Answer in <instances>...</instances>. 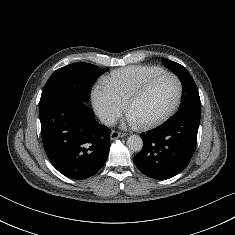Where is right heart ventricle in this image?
Instances as JSON below:
<instances>
[{
    "label": "right heart ventricle",
    "instance_id": "right-heart-ventricle-1",
    "mask_svg": "<svg viewBox=\"0 0 235 235\" xmlns=\"http://www.w3.org/2000/svg\"><path fill=\"white\" fill-rule=\"evenodd\" d=\"M163 71L159 66H128L112 72L105 78V84L125 104L147 79Z\"/></svg>",
    "mask_w": 235,
    "mask_h": 235
}]
</instances>
